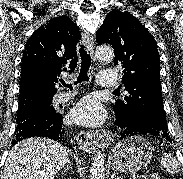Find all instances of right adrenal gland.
<instances>
[{"mask_svg": "<svg viewBox=\"0 0 183 179\" xmlns=\"http://www.w3.org/2000/svg\"><path fill=\"white\" fill-rule=\"evenodd\" d=\"M65 169L72 171V165H71L70 160L67 162Z\"/></svg>", "mask_w": 183, "mask_h": 179, "instance_id": "right-adrenal-gland-1", "label": "right adrenal gland"}]
</instances>
